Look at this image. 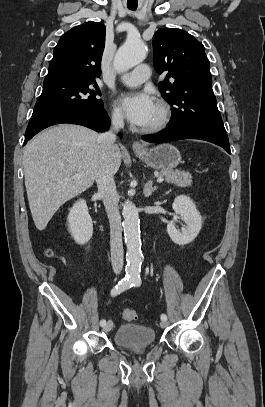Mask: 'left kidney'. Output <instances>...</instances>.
<instances>
[{
    "label": "left kidney",
    "mask_w": 265,
    "mask_h": 407,
    "mask_svg": "<svg viewBox=\"0 0 265 407\" xmlns=\"http://www.w3.org/2000/svg\"><path fill=\"white\" fill-rule=\"evenodd\" d=\"M172 208L175 212L173 221L167 225V232L171 240L180 246L192 242L199 234L202 227V217L193 201L185 195L177 196ZM182 219L186 226L177 230L175 222Z\"/></svg>",
    "instance_id": "obj_1"
}]
</instances>
